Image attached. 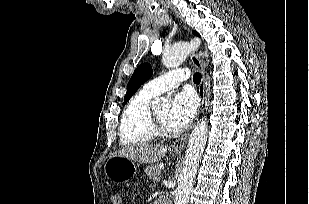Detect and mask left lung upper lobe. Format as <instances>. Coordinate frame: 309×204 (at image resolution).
<instances>
[{
	"label": "left lung upper lobe",
	"instance_id": "5c2ea615",
	"mask_svg": "<svg viewBox=\"0 0 309 204\" xmlns=\"http://www.w3.org/2000/svg\"><path fill=\"white\" fill-rule=\"evenodd\" d=\"M193 34L200 37V35L196 31H193ZM152 73V68L148 63H143L135 69L132 77L128 82L127 93L124 98V104L137 91V89L152 76Z\"/></svg>",
	"mask_w": 309,
	"mask_h": 204
}]
</instances>
